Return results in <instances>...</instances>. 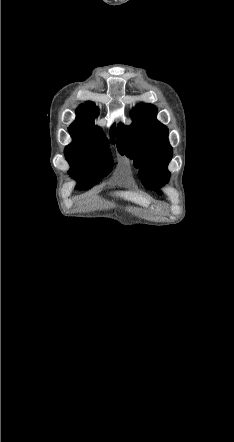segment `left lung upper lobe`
Listing matches in <instances>:
<instances>
[{
  "label": "left lung upper lobe",
  "mask_w": 234,
  "mask_h": 442,
  "mask_svg": "<svg viewBox=\"0 0 234 442\" xmlns=\"http://www.w3.org/2000/svg\"><path fill=\"white\" fill-rule=\"evenodd\" d=\"M130 126L120 124L117 128L116 145L121 155L132 158L139 168V177L147 189L157 190L168 182L167 166L172 158L168 142V129L157 121V108L140 104L131 113Z\"/></svg>",
  "instance_id": "5c2ea615"
}]
</instances>
